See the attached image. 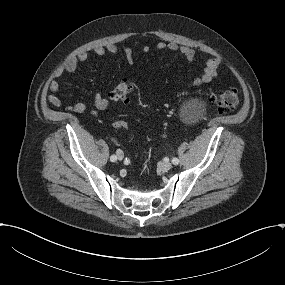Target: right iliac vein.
<instances>
[{
	"label": "right iliac vein",
	"instance_id": "right-iliac-vein-1",
	"mask_svg": "<svg viewBox=\"0 0 285 285\" xmlns=\"http://www.w3.org/2000/svg\"><path fill=\"white\" fill-rule=\"evenodd\" d=\"M124 158V154L121 150L117 151V159L121 161Z\"/></svg>",
	"mask_w": 285,
	"mask_h": 285
}]
</instances>
